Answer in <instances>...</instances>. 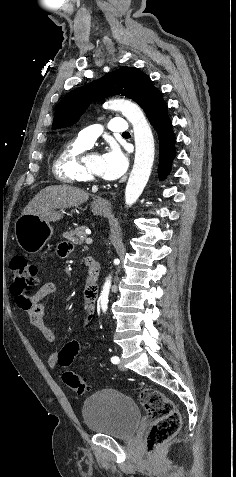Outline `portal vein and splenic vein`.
Masks as SVG:
<instances>
[{
    "label": "portal vein and splenic vein",
    "instance_id": "portal-vein-and-splenic-vein-1",
    "mask_svg": "<svg viewBox=\"0 0 236 477\" xmlns=\"http://www.w3.org/2000/svg\"><path fill=\"white\" fill-rule=\"evenodd\" d=\"M93 242L92 238H87L86 239V244H91Z\"/></svg>",
    "mask_w": 236,
    "mask_h": 477
}]
</instances>
